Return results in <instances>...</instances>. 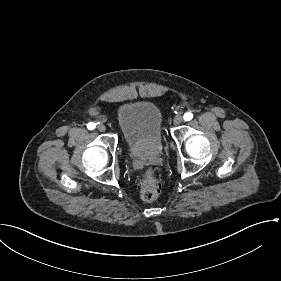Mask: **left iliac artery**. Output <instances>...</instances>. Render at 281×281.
<instances>
[{"label": "left iliac artery", "instance_id": "44dca946", "mask_svg": "<svg viewBox=\"0 0 281 281\" xmlns=\"http://www.w3.org/2000/svg\"><path fill=\"white\" fill-rule=\"evenodd\" d=\"M193 118V114L191 112H187L184 114V120L190 121Z\"/></svg>", "mask_w": 281, "mask_h": 281}]
</instances>
